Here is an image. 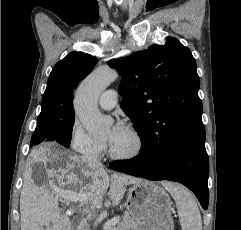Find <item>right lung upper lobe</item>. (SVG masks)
<instances>
[{"label":"right lung upper lobe","instance_id":"right-lung-upper-lobe-1","mask_svg":"<svg viewBox=\"0 0 241 230\" xmlns=\"http://www.w3.org/2000/svg\"><path fill=\"white\" fill-rule=\"evenodd\" d=\"M97 62L96 57L83 52H71L59 61L48 78L41 113L48 112L62 118L74 115L73 91L93 70Z\"/></svg>","mask_w":241,"mask_h":230}]
</instances>
